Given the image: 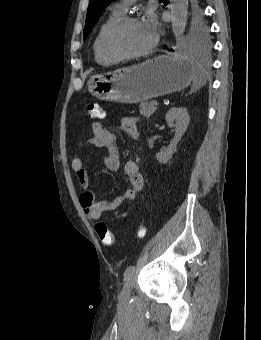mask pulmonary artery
I'll list each match as a JSON object with an SVG mask.
<instances>
[{
	"mask_svg": "<svg viewBox=\"0 0 261 340\" xmlns=\"http://www.w3.org/2000/svg\"><path fill=\"white\" fill-rule=\"evenodd\" d=\"M135 0H122L121 2L115 3L113 5V10L124 14L129 6Z\"/></svg>",
	"mask_w": 261,
	"mask_h": 340,
	"instance_id": "e3ab8cb5",
	"label": "pulmonary artery"
}]
</instances>
